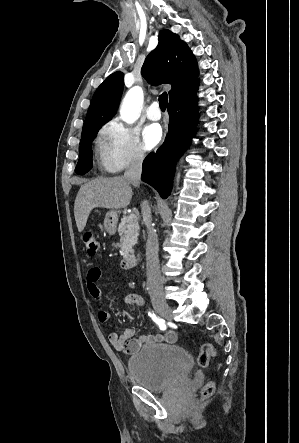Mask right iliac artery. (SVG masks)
<instances>
[{
	"mask_svg": "<svg viewBox=\"0 0 299 443\" xmlns=\"http://www.w3.org/2000/svg\"><path fill=\"white\" fill-rule=\"evenodd\" d=\"M148 315L152 318V320L159 326L161 330H166L165 320L157 317L154 313L148 312Z\"/></svg>",
	"mask_w": 299,
	"mask_h": 443,
	"instance_id": "82829eb1",
	"label": "right iliac artery"
}]
</instances>
